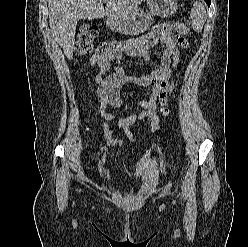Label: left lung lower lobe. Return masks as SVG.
Returning a JSON list of instances; mask_svg holds the SVG:
<instances>
[{"mask_svg": "<svg viewBox=\"0 0 248 247\" xmlns=\"http://www.w3.org/2000/svg\"><path fill=\"white\" fill-rule=\"evenodd\" d=\"M208 6H210L211 0H204Z\"/></svg>", "mask_w": 248, "mask_h": 247, "instance_id": "0a47b994", "label": "left lung lower lobe"}]
</instances>
